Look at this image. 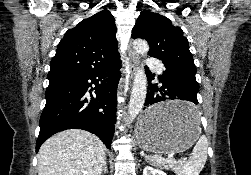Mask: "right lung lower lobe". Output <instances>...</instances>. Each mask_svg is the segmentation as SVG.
I'll return each instance as SVG.
<instances>
[{"mask_svg": "<svg viewBox=\"0 0 251 175\" xmlns=\"http://www.w3.org/2000/svg\"><path fill=\"white\" fill-rule=\"evenodd\" d=\"M120 66L118 58L102 69L49 79L36 152L46 139L66 129L87 130L111 148Z\"/></svg>", "mask_w": 251, "mask_h": 175, "instance_id": "1", "label": "right lung lower lobe"}]
</instances>
